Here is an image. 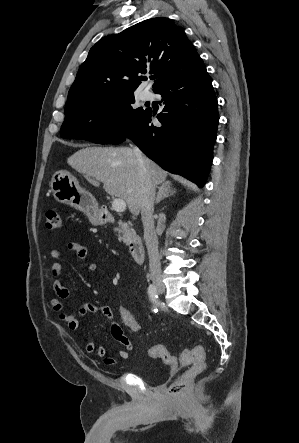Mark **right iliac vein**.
Segmentation results:
<instances>
[{"mask_svg": "<svg viewBox=\"0 0 299 443\" xmlns=\"http://www.w3.org/2000/svg\"><path fill=\"white\" fill-rule=\"evenodd\" d=\"M152 281H153V284H154V285L156 286V288L158 289V291L161 292V293H163L164 290H165V287H164V285H163V283H162L161 278H160L159 276H153V277H152Z\"/></svg>", "mask_w": 299, "mask_h": 443, "instance_id": "1", "label": "right iliac vein"}]
</instances>
